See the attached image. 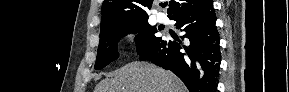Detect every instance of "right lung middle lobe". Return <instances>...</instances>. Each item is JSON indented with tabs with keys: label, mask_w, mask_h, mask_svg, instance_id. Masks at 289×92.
<instances>
[{
	"label": "right lung middle lobe",
	"mask_w": 289,
	"mask_h": 92,
	"mask_svg": "<svg viewBox=\"0 0 289 92\" xmlns=\"http://www.w3.org/2000/svg\"><path fill=\"white\" fill-rule=\"evenodd\" d=\"M130 33H138L135 40L139 54L146 51L160 39L155 35L157 29L148 23V18L113 24L100 31L95 69H102L118 58L117 42L121 37Z\"/></svg>",
	"instance_id": "1"
}]
</instances>
